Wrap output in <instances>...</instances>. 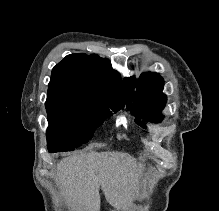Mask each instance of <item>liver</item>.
<instances>
[{"instance_id": "6515ba94", "label": "liver", "mask_w": 219, "mask_h": 211, "mask_svg": "<svg viewBox=\"0 0 219 211\" xmlns=\"http://www.w3.org/2000/svg\"><path fill=\"white\" fill-rule=\"evenodd\" d=\"M54 177L72 209L80 203L90 211H100V187L116 209H129L138 195L136 161L120 151L73 153L57 163Z\"/></svg>"}]
</instances>
